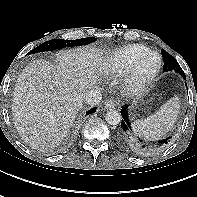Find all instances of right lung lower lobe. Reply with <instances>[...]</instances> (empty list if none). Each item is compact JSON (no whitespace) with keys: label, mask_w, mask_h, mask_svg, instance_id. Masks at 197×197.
Listing matches in <instances>:
<instances>
[{"label":"right lung lower lobe","mask_w":197,"mask_h":197,"mask_svg":"<svg viewBox=\"0 0 197 197\" xmlns=\"http://www.w3.org/2000/svg\"><path fill=\"white\" fill-rule=\"evenodd\" d=\"M95 111H96V107L90 109V110L87 112V115H88V114H92V113H94Z\"/></svg>","instance_id":"right-lung-lower-lobe-1"}]
</instances>
